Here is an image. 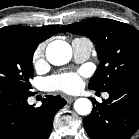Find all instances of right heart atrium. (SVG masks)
Listing matches in <instances>:
<instances>
[{
    "instance_id": "obj_1",
    "label": "right heart atrium",
    "mask_w": 139,
    "mask_h": 139,
    "mask_svg": "<svg viewBox=\"0 0 139 139\" xmlns=\"http://www.w3.org/2000/svg\"><path fill=\"white\" fill-rule=\"evenodd\" d=\"M43 57H44V46L39 45L33 53V63L36 67L41 65V63L43 62Z\"/></svg>"
}]
</instances>
